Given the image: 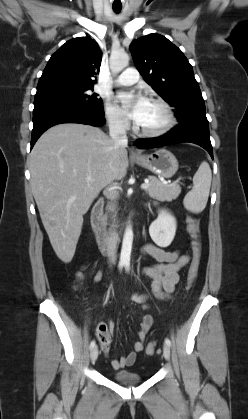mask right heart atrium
Listing matches in <instances>:
<instances>
[{
	"label": "right heart atrium",
	"instance_id": "obj_1",
	"mask_svg": "<svg viewBox=\"0 0 248 419\" xmlns=\"http://www.w3.org/2000/svg\"><path fill=\"white\" fill-rule=\"evenodd\" d=\"M105 118L109 126L117 132H126L129 129L128 119L117 106L109 101L105 104Z\"/></svg>",
	"mask_w": 248,
	"mask_h": 419
}]
</instances>
